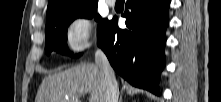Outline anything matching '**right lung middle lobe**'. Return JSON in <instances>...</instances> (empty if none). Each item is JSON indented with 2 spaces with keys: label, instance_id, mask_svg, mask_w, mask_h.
Wrapping results in <instances>:
<instances>
[{
  "label": "right lung middle lobe",
  "instance_id": "1",
  "mask_svg": "<svg viewBox=\"0 0 221 102\" xmlns=\"http://www.w3.org/2000/svg\"><path fill=\"white\" fill-rule=\"evenodd\" d=\"M98 2L89 3L80 7H71L57 12L47 20L45 51L49 55L51 51L68 54L67 50V28L76 18H92L99 21L97 34L102 26L108 21L96 15Z\"/></svg>",
  "mask_w": 221,
  "mask_h": 102
}]
</instances>
